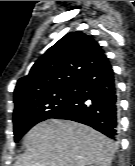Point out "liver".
Here are the masks:
<instances>
[{
	"instance_id": "liver-1",
	"label": "liver",
	"mask_w": 135,
	"mask_h": 166,
	"mask_svg": "<svg viewBox=\"0 0 135 166\" xmlns=\"http://www.w3.org/2000/svg\"><path fill=\"white\" fill-rule=\"evenodd\" d=\"M27 152L13 166H110L112 141L98 131L68 120L49 119L24 137Z\"/></svg>"
}]
</instances>
